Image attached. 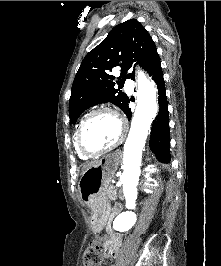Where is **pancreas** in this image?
I'll list each match as a JSON object with an SVG mask.
<instances>
[{"instance_id": "obj_1", "label": "pancreas", "mask_w": 221, "mask_h": 266, "mask_svg": "<svg viewBox=\"0 0 221 266\" xmlns=\"http://www.w3.org/2000/svg\"><path fill=\"white\" fill-rule=\"evenodd\" d=\"M106 194L110 201H115L117 199V191L113 185L107 187Z\"/></svg>"}]
</instances>
